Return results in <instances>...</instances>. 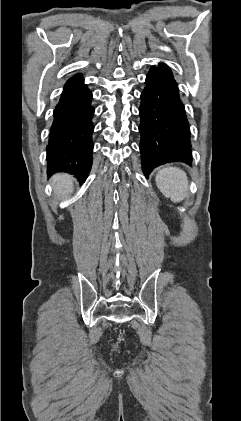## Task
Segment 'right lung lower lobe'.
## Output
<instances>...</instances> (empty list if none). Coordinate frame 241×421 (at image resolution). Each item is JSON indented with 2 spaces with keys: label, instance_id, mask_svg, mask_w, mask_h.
Masks as SVG:
<instances>
[{
  "label": "right lung lower lobe",
  "instance_id": "98d812e1",
  "mask_svg": "<svg viewBox=\"0 0 241 421\" xmlns=\"http://www.w3.org/2000/svg\"><path fill=\"white\" fill-rule=\"evenodd\" d=\"M81 75L70 78L53 116L47 145L48 175L74 174L83 183L92 164V93Z\"/></svg>",
  "mask_w": 241,
  "mask_h": 421
}]
</instances>
